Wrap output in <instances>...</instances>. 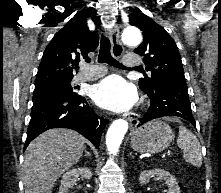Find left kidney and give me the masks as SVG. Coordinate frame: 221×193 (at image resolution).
<instances>
[{
    "label": "left kidney",
    "mask_w": 221,
    "mask_h": 193,
    "mask_svg": "<svg viewBox=\"0 0 221 193\" xmlns=\"http://www.w3.org/2000/svg\"><path fill=\"white\" fill-rule=\"evenodd\" d=\"M154 176H157L159 179L165 180L168 187V193H180V188L178 186V183L176 182L175 177L171 175L169 172L159 168L153 170H145L141 172L139 176V183L143 185L147 182V179L149 177H154Z\"/></svg>",
    "instance_id": "5707ae66"
}]
</instances>
